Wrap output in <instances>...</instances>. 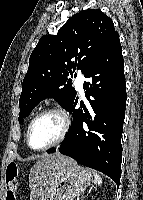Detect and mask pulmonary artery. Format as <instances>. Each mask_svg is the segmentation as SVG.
Returning <instances> with one entry per match:
<instances>
[{
	"label": "pulmonary artery",
	"instance_id": "obj_1",
	"mask_svg": "<svg viewBox=\"0 0 143 200\" xmlns=\"http://www.w3.org/2000/svg\"><path fill=\"white\" fill-rule=\"evenodd\" d=\"M85 82V77L83 74L79 73L75 79V86L80 93L84 92L83 86Z\"/></svg>",
	"mask_w": 143,
	"mask_h": 200
}]
</instances>
